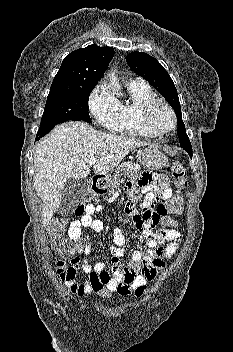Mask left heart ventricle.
<instances>
[{"label":"left heart ventricle","mask_w":233,"mask_h":352,"mask_svg":"<svg viewBox=\"0 0 233 352\" xmlns=\"http://www.w3.org/2000/svg\"><path fill=\"white\" fill-rule=\"evenodd\" d=\"M151 124L155 131H163L171 126V117L168 111L162 107L157 106L151 115Z\"/></svg>","instance_id":"left-heart-ventricle-1"}]
</instances>
